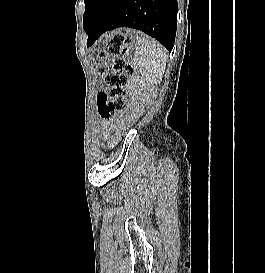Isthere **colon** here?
<instances>
[{
  "label": "colon",
  "instance_id": "obj_1",
  "mask_svg": "<svg viewBox=\"0 0 265 273\" xmlns=\"http://www.w3.org/2000/svg\"><path fill=\"white\" fill-rule=\"evenodd\" d=\"M132 38L124 34H115L108 46L109 53L116 55L113 60L112 71L106 73L101 70L108 86L107 91L99 92L97 95V112L102 119H108L120 115L125 112L127 97L126 87L128 79L135 72L134 68L119 55H128L131 50ZM104 56V53H101ZM100 144L102 148H109V136H100Z\"/></svg>",
  "mask_w": 265,
  "mask_h": 273
}]
</instances>
